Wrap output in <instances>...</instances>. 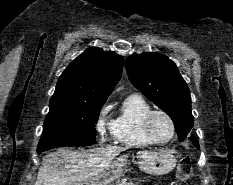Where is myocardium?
Instances as JSON below:
<instances>
[{"label": "myocardium", "instance_id": "myocardium-1", "mask_svg": "<svg viewBox=\"0 0 233 185\" xmlns=\"http://www.w3.org/2000/svg\"><path fill=\"white\" fill-rule=\"evenodd\" d=\"M156 115H162V116L166 117L171 125L172 133H171V136L166 140H161V139L157 138L153 132L152 121ZM143 128H144V131H145V134L147 135V137L151 141H153L154 143H157V144H166V143L172 141L173 138L175 137V134H176L175 122H174L173 118L171 117V115L164 110H151L149 113H147L144 120H143Z\"/></svg>", "mask_w": 233, "mask_h": 185}]
</instances>
